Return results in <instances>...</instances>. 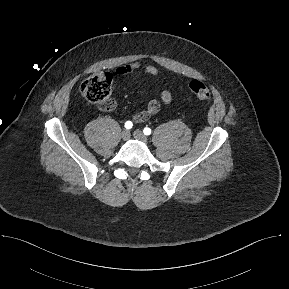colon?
I'll list each match as a JSON object with an SVG mask.
<instances>
[{"instance_id": "1", "label": "colon", "mask_w": 289, "mask_h": 289, "mask_svg": "<svg viewBox=\"0 0 289 289\" xmlns=\"http://www.w3.org/2000/svg\"><path fill=\"white\" fill-rule=\"evenodd\" d=\"M112 75L108 72L97 73L83 80L80 91L83 97L91 104L103 111H112L116 103L111 98ZM190 91L201 100H209L211 92L209 88L198 80H192L189 84Z\"/></svg>"}]
</instances>
